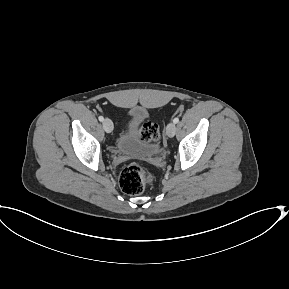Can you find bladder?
I'll use <instances>...</instances> for the list:
<instances>
[{
    "label": "bladder",
    "mask_w": 289,
    "mask_h": 289,
    "mask_svg": "<svg viewBox=\"0 0 289 289\" xmlns=\"http://www.w3.org/2000/svg\"><path fill=\"white\" fill-rule=\"evenodd\" d=\"M146 116L144 109H134L127 124V129L119 135L116 140V147L119 152L139 157H153L158 153L157 145L141 139L139 127Z\"/></svg>",
    "instance_id": "31cf9c89"
}]
</instances>
